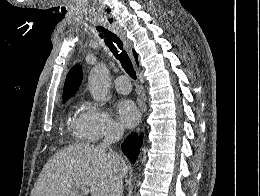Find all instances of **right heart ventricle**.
I'll list each match as a JSON object with an SVG mask.
<instances>
[{
	"instance_id": "1",
	"label": "right heart ventricle",
	"mask_w": 260,
	"mask_h": 196,
	"mask_svg": "<svg viewBox=\"0 0 260 196\" xmlns=\"http://www.w3.org/2000/svg\"><path fill=\"white\" fill-rule=\"evenodd\" d=\"M50 192H75V190H50Z\"/></svg>"
}]
</instances>
